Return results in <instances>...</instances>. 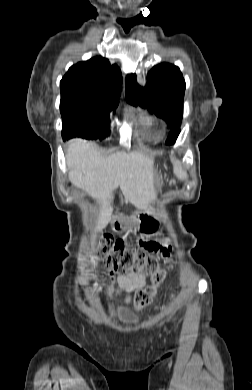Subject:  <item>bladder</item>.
<instances>
[{"label": "bladder", "mask_w": 252, "mask_h": 390, "mask_svg": "<svg viewBox=\"0 0 252 390\" xmlns=\"http://www.w3.org/2000/svg\"><path fill=\"white\" fill-rule=\"evenodd\" d=\"M116 319L124 323H137L136 318L127 312H118L116 314Z\"/></svg>", "instance_id": "obj_1"}]
</instances>
